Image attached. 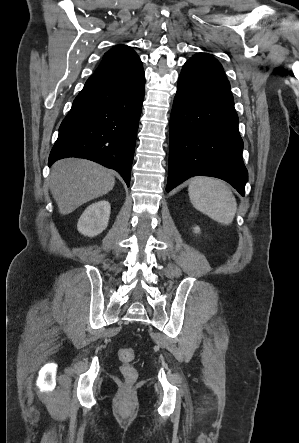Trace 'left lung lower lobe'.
I'll return each mask as SVG.
<instances>
[{
	"instance_id": "1",
	"label": "left lung lower lobe",
	"mask_w": 299,
	"mask_h": 443,
	"mask_svg": "<svg viewBox=\"0 0 299 443\" xmlns=\"http://www.w3.org/2000/svg\"><path fill=\"white\" fill-rule=\"evenodd\" d=\"M242 149L228 79L185 63L170 117L166 191L201 175L225 180L244 196Z\"/></svg>"
}]
</instances>
